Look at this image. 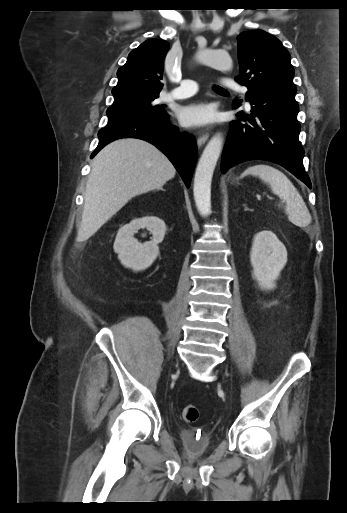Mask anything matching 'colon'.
Segmentation results:
<instances>
[{"label": "colon", "instance_id": "1", "mask_svg": "<svg viewBox=\"0 0 347 513\" xmlns=\"http://www.w3.org/2000/svg\"><path fill=\"white\" fill-rule=\"evenodd\" d=\"M199 415V409L195 405L186 404L182 407V417L188 423L196 422Z\"/></svg>", "mask_w": 347, "mask_h": 513}]
</instances>
